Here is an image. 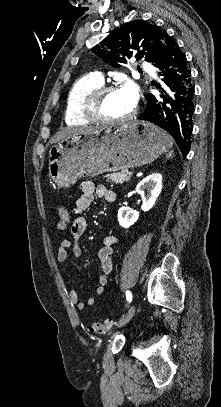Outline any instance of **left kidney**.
Segmentation results:
<instances>
[{"mask_svg": "<svg viewBox=\"0 0 221 407\" xmlns=\"http://www.w3.org/2000/svg\"><path fill=\"white\" fill-rule=\"evenodd\" d=\"M135 190L142 198V211H149L154 206L161 193L162 175L160 173L150 174L137 184ZM145 190H147V194H145ZM138 218L139 212L130 210L125 206H122L118 210V222L123 228H129L138 220Z\"/></svg>", "mask_w": 221, "mask_h": 407, "instance_id": "obj_1", "label": "left kidney"}]
</instances>
